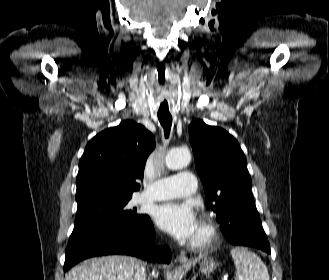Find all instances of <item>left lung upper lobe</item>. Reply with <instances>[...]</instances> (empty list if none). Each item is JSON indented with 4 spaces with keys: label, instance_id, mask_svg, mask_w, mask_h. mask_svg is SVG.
Listing matches in <instances>:
<instances>
[{
    "label": "left lung upper lobe",
    "instance_id": "5c2ea615",
    "mask_svg": "<svg viewBox=\"0 0 329 280\" xmlns=\"http://www.w3.org/2000/svg\"><path fill=\"white\" fill-rule=\"evenodd\" d=\"M189 134L207 207L217 213L223 228L253 202L245 155L226 130L202 120L192 121Z\"/></svg>",
    "mask_w": 329,
    "mask_h": 280
}]
</instances>
